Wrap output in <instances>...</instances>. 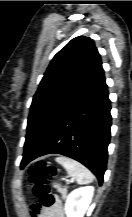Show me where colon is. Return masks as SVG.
I'll return each mask as SVG.
<instances>
[{"label": "colon", "instance_id": "1", "mask_svg": "<svg viewBox=\"0 0 132 217\" xmlns=\"http://www.w3.org/2000/svg\"><path fill=\"white\" fill-rule=\"evenodd\" d=\"M57 175V168L48 162L40 161L29 171V180L33 195L39 203L32 207L33 213H38L40 208L52 206L57 198L51 191L50 181Z\"/></svg>", "mask_w": 132, "mask_h": 217}]
</instances>
